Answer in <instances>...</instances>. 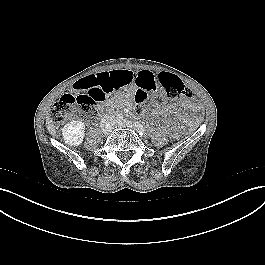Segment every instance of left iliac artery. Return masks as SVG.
<instances>
[{
    "mask_svg": "<svg viewBox=\"0 0 265 265\" xmlns=\"http://www.w3.org/2000/svg\"><path fill=\"white\" fill-rule=\"evenodd\" d=\"M135 127L137 128L139 135L145 136V129L141 124H139L138 122H135Z\"/></svg>",
    "mask_w": 265,
    "mask_h": 265,
    "instance_id": "44dca946",
    "label": "left iliac artery"
}]
</instances>
